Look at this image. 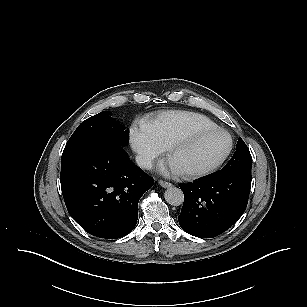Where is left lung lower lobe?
Here are the masks:
<instances>
[{
	"label": "left lung lower lobe",
	"mask_w": 307,
	"mask_h": 307,
	"mask_svg": "<svg viewBox=\"0 0 307 307\" xmlns=\"http://www.w3.org/2000/svg\"><path fill=\"white\" fill-rule=\"evenodd\" d=\"M251 180V173L212 174L180 185L184 193L178 216L182 229L202 238H213L226 231L247 207Z\"/></svg>",
	"instance_id": "obj_1"
}]
</instances>
